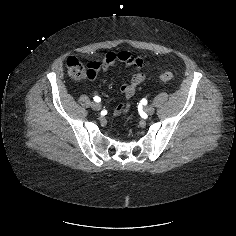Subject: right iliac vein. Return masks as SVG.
<instances>
[{
  "label": "right iliac vein",
  "mask_w": 236,
  "mask_h": 236,
  "mask_svg": "<svg viewBox=\"0 0 236 236\" xmlns=\"http://www.w3.org/2000/svg\"><path fill=\"white\" fill-rule=\"evenodd\" d=\"M92 109L95 110V111H99L101 110V105L100 103L98 102H93L92 105H91Z\"/></svg>",
  "instance_id": "1"
}]
</instances>
